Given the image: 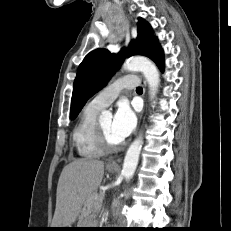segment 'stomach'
Listing matches in <instances>:
<instances>
[{
    "instance_id": "1",
    "label": "stomach",
    "mask_w": 231,
    "mask_h": 231,
    "mask_svg": "<svg viewBox=\"0 0 231 231\" xmlns=\"http://www.w3.org/2000/svg\"><path fill=\"white\" fill-rule=\"evenodd\" d=\"M107 170L111 173H114L117 171V168H111V167H107ZM89 224V221L85 220V221H82L79 225V227L77 228H90V227H87ZM62 228H71V227H62ZM58 230H66V229H58Z\"/></svg>"
}]
</instances>
